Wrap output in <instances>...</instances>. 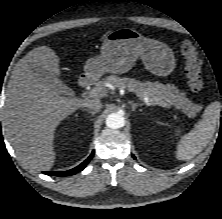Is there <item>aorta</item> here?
<instances>
[{
	"instance_id": "1",
	"label": "aorta",
	"mask_w": 222,
	"mask_h": 219,
	"mask_svg": "<svg viewBox=\"0 0 222 219\" xmlns=\"http://www.w3.org/2000/svg\"><path fill=\"white\" fill-rule=\"evenodd\" d=\"M106 125L111 129H119L125 125V118L120 113H111L106 118Z\"/></svg>"
}]
</instances>
